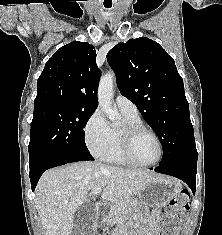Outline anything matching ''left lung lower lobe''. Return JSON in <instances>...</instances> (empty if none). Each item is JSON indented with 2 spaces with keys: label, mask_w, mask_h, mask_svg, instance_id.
<instances>
[{
  "label": "left lung lower lobe",
  "mask_w": 222,
  "mask_h": 235,
  "mask_svg": "<svg viewBox=\"0 0 222 235\" xmlns=\"http://www.w3.org/2000/svg\"><path fill=\"white\" fill-rule=\"evenodd\" d=\"M158 173L167 174L184 181L195 194L197 158H182L165 164H159L154 169Z\"/></svg>",
  "instance_id": "obj_1"
}]
</instances>
